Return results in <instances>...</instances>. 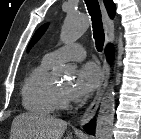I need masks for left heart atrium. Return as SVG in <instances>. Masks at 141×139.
Returning <instances> with one entry per match:
<instances>
[{
	"label": "left heart atrium",
	"instance_id": "1",
	"mask_svg": "<svg viewBox=\"0 0 141 139\" xmlns=\"http://www.w3.org/2000/svg\"><path fill=\"white\" fill-rule=\"evenodd\" d=\"M99 68L93 63L84 64L68 90L71 99L81 101L88 98L100 83Z\"/></svg>",
	"mask_w": 141,
	"mask_h": 139
}]
</instances>
